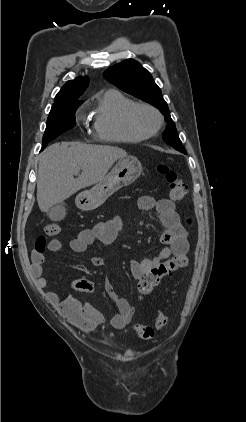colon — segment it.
<instances>
[{"instance_id":"colon-1","label":"colon","mask_w":246,"mask_h":422,"mask_svg":"<svg viewBox=\"0 0 246 422\" xmlns=\"http://www.w3.org/2000/svg\"><path fill=\"white\" fill-rule=\"evenodd\" d=\"M158 172L165 177L169 184V196L173 200L182 199L187 192V185L178 176V174L170 169L166 165H158ZM190 222V220H189ZM60 226L55 223H50L44 228V233L48 236H56L60 233ZM45 249V239L43 236H39L36 240L35 250L39 253H43ZM188 264L187 255H180L172 257L158 266L151 268L146 272L138 282V292L140 298H144L149 295L153 289L160 283V281L172 272L185 267ZM168 325V318L159 312L155 318V327L157 330H164ZM135 331L139 337L143 339H149L153 337L154 330L150 326L137 324Z\"/></svg>"}]
</instances>
